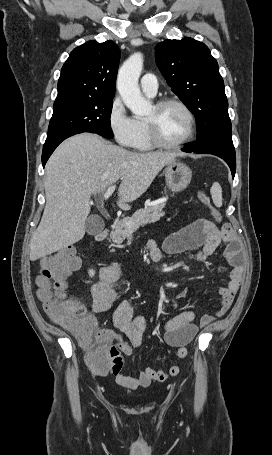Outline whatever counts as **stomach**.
Instances as JSON below:
<instances>
[{
	"instance_id": "obj_1",
	"label": "stomach",
	"mask_w": 272,
	"mask_h": 455,
	"mask_svg": "<svg viewBox=\"0 0 272 455\" xmlns=\"http://www.w3.org/2000/svg\"><path fill=\"white\" fill-rule=\"evenodd\" d=\"M166 184L173 192L184 190L191 181L192 172L190 168L179 161H172L164 169Z\"/></svg>"
}]
</instances>
